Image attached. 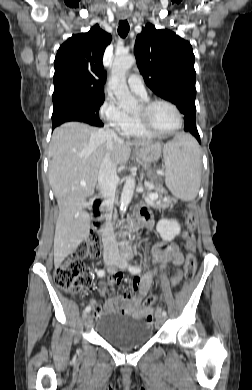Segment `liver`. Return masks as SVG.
I'll list each match as a JSON object with an SVG mask.
<instances>
[{"instance_id": "obj_1", "label": "liver", "mask_w": 252, "mask_h": 390, "mask_svg": "<svg viewBox=\"0 0 252 390\" xmlns=\"http://www.w3.org/2000/svg\"><path fill=\"white\" fill-rule=\"evenodd\" d=\"M104 129L79 122H68L56 128L49 145L48 177L59 207L54 236V263L59 266L86 238L90 217L84 210L97 185L99 168L107 153ZM149 142H125L113 139L111 161L126 164L132 146H152ZM159 146L161 152L160 144ZM165 147V146H164ZM85 182V186L80 183Z\"/></svg>"}]
</instances>
